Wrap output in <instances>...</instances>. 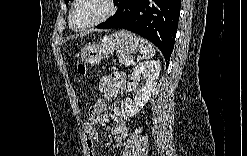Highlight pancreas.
<instances>
[{"instance_id": "1", "label": "pancreas", "mask_w": 247, "mask_h": 156, "mask_svg": "<svg viewBox=\"0 0 247 156\" xmlns=\"http://www.w3.org/2000/svg\"><path fill=\"white\" fill-rule=\"evenodd\" d=\"M117 57H118V61L124 65H128L129 61L132 59L131 56L122 53H118Z\"/></svg>"}]
</instances>
